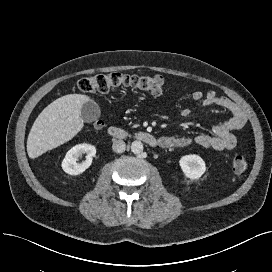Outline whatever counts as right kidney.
I'll list each match as a JSON object with an SVG mask.
<instances>
[{
    "label": "right kidney",
    "instance_id": "right-kidney-1",
    "mask_svg": "<svg viewBox=\"0 0 272 272\" xmlns=\"http://www.w3.org/2000/svg\"><path fill=\"white\" fill-rule=\"evenodd\" d=\"M86 154V160L77 163L78 158ZM96 154V148L93 145L83 143L72 147L65 155L62 161V169L70 175H79L83 173L92 163V158Z\"/></svg>",
    "mask_w": 272,
    "mask_h": 272
}]
</instances>
